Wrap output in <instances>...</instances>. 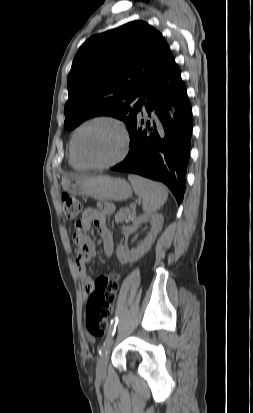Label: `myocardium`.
<instances>
[{"label": "myocardium", "mask_w": 253, "mask_h": 413, "mask_svg": "<svg viewBox=\"0 0 253 413\" xmlns=\"http://www.w3.org/2000/svg\"><path fill=\"white\" fill-rule=\"evenodd\" d=\"M95 123H107V124L112 125L119 133L120 140H121V149L118 155L114 157L113 159L103 162V163L91 164V163H87L83 161L79 157L77 148H76V142H77V137L80 134V132L84 128L92 124H95ZM70 147H71V153H72L74 160L81 167L86 168V169H96V170L106 169V168L117 165L126 157L128 153V149H129V139H128L127 131L123 123L120 120H118L117 118L111 117V116L101 115V116L92 117L86 120L85 122H83L79 127H77V129L74 131L72 135Z\"/></svg>", "instance_id": "myocardium-1"}]
</instances>
